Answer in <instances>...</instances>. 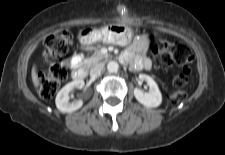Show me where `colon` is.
<instances>
[{"label": "colon", "mask_w": 225, "mask_h": 155, "mask_svg": "<svg viewBox=\"0 0 225 155\" xmlns=\"http://www.w3.org/2000/svg\"><path fill=\"white\" fill-rule=\"evenodd\" d=\"M153 53L164 64H178L181 71L173 79L174 90L166 96L169 104L174 105L184 97L183 88L191 72L193 54L185 43L181 41H166L151 39ZM72 43V34L62 31L49 35L44 42V56L49 61L47 70L39 74V95L43 99H51L57 92L60 84L67 78L68 70L60 61L67 54Z\"/></svg>", "instance_id": "colon-1"}]
</instances>
